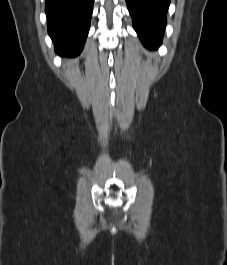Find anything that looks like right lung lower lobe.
I'll use <instances>...</instances> for the list:
<instances>
[{"label": "right lung lower lobe", "instance_id": "obj_1", "mask_svg": "<svg viewBox=\"0 0 227 265\" xmlns=\"http://www.w3.org/2000/svg\"><path fill=\"white\" fill-rule=\"evenodd\" d=\"M94 0H46L48 34L55 50L76 56L84 46L90 29Z\"/></svg>", "mask_w": 227, "mask_h": 265}]
</instances>
